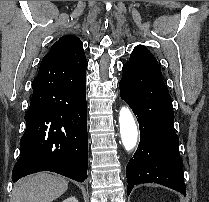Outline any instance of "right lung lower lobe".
Here are the masks:
<instances>
[{"label": "right lung lower lobe", "mask_w": 209, "mask_h": 202, "mask_svg": "<svg viewBox=\"0 0 209 202\" xmlns=\"http://www.w3.org/2000/svg\"><path fill=\"white\" fill-rule=\"evenodd\" d=\"M56 64L54 58H43L32 82L14 182L47 170L79 182L87 179L86 76L74 80L53 70Z\"/></svg>", "instance_id": "right-lung-lower-lobe-1"}]
</instances>
